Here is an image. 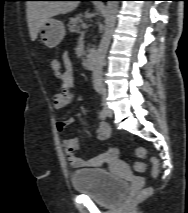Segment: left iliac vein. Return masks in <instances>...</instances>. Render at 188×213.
Listing matches in <instances>:
<instances>
[{
	"mask_svg": "<svg viewBox=\"0 0 188 213\" xmlns=\"http://www.w3.org/2000/svg\"><path fill=\"white\" fill-rule=\"evenodd\" d=\"M107 113H108V116H109V117L112 116V112H111L109 109H107Z\"/></svg>",
	"mask_w": 188,
	"mask_h": 213,
	"instance_id": "obj_1",
	"label": "left iliac vein"
}]
</instances>
